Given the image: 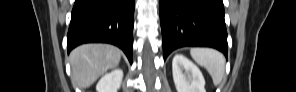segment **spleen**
<instances>
[{
	"label": "spleen",
	"instance_id": "obj_1",
	"mask_svg": "<svg viewBox=\"0 0 296 92\" xmlns=\"http://www.w3.org/2000/svg\"><path fill=\"white\" fill-rule=\"evenodd\" d=\"M190 54L196 63L207 69L214 85H219L225 74L224 56L210 48H192Z\"/></svg>",
	"mask_w": 296,
	"mask_h": 92
}]
</instances>
